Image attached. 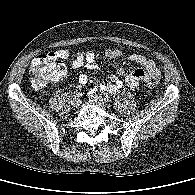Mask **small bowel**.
<instances>
[{"mask_svg":"<svg viewBox=\"0 0 195 195\" xmlns=\"http://www.w3.org/2000/svg\"><path fill=\"white\" fill-rule=\"evenodd\" d=\"M50 54L59 59H67L71 55V51L68 49H59ZM104 55L108 59H116L122 55V52L118 49H107L104 51ZM73 56L74 58L71 62L73 68H80L84 65L90 69L96 68V56L93 51H77L73 53ZM130 59L140 67L126 75L124 80L121 78L125 73L124 69H118L117 72L110 77V81L102 82L100 86L92 88L89 93L106 92L114 94L123 87V84H126L130 88H135L142 81L148 82L160 78V71L153 60L141 54H132ZM78 82L81 85H85L88 82V76L81 74L78 77Z\"/></svg>","mask_w":195,"mask_h":195,"instance_id":"1","label":"small bowel"}]
</instances>
